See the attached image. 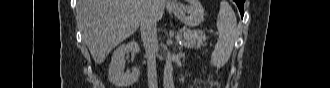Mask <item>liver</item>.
<instances>
[{"label": "liver", "instance_id": "1", "mask_svg": "<svg viewBox=\"0 0 330 88\" xmlns=\"http://www.w3.org/2000/svg\"><path fill=\"white\" fill-rule=\"evenodd\" d=\"M150 7L158 21L163 16L165 0H79L77 17L94 61L102 63L114 47L132 35Z\"/></svg>", "mask_w": 330, "mask_h": 88}]
</instances>
